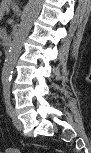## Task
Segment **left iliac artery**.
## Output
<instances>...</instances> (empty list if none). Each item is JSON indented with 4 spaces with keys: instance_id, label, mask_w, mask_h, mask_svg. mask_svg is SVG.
Listing matches in <instances>:
<instances>
[{
    "instance_id": "1",
    "label": "left iliac artery",
    "mask_w": 91,
    "mask_h": 153,
    "mask_svg": "<svg viewBox=\"0 0 91 153\" xmlns=\"http://www.w3.org/2000/svg\"><path fill=\"white\" fill-rule=\"evenodd\" d=\"M4 101H5V106H6V111L8 113V115L12 116L13 115V107L11 104V100H10V92H9V88L6 87L4 90Z\"/></svg>"
}]
</instances>
